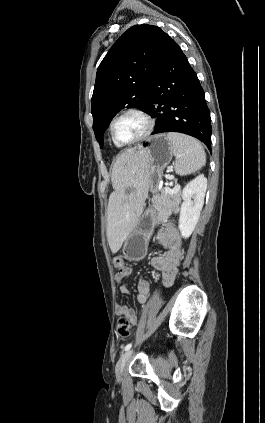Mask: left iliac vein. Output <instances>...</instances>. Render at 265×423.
I'll return each mask as SVG.
<instances>
[{
    "label": "left iliac vein",
    "mask_w": 265,
    "mask_h": 423,
    "mask_svg": "<svg viewBox=\"0 0 265 423\" xmlns=\"http://www.w3.org/2000/svg\"><path fill=\"white\" fill-rule=\"evenodd\" d=\"M134 350H127L125 353H123L121 355V357L119 358L116 366H115V374H116V378L119 380L122 377L124 368L127 364V362L129 361V359L131 358V356L133 355Z\"/></svg>",
    "instance_id": "left-iliac-vein-1"
}]
</instances>
